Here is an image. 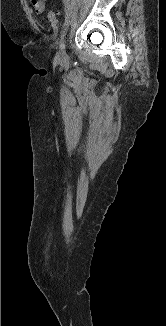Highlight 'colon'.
<instances>
[{
  "label": "colon",
  "mask_w": 166,
  "mask_h": 326,
  "mask_svg": "<svg viewBox=\"0 0 166 326\" xmlns=\"http://www.w3.org/2000/svg\"><path fill=\"white\" fill-rule=\"evenodd\" d=\"M46 17L48 19V21H50L51 23L55 24L56 23V13L53 11H49L46 14Z\"/></svg>",
  "instance_id": "5ec220e1"
}]
</instances>
